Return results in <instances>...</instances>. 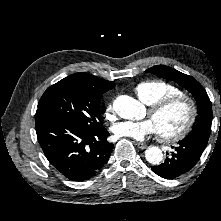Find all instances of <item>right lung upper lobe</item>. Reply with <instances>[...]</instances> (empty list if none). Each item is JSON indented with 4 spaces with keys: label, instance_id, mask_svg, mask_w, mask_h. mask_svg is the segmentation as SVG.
I'll use <instances>...</instances> for the list:
<instances>
[{
    "label": "right lung upper lobe",
    "instance_id": "cb5924a9",
    "mask_svg": "<svg viewBox=\"0 0 221 221\" xmlns=\"http://www.w3.org/2000/svg\"><path fill=\"white\" fill-rule=\"evenodd\" d=\"M62 80L88 85V86L97 88L98 90L104 93L112 89L115 86L114 82L112 81L103 80L101 78H98L96 76H93L85 72L72 74Z\"/></svg>",
    "mask_w": 221,
    "mask_h": 221
}]
</instances>
